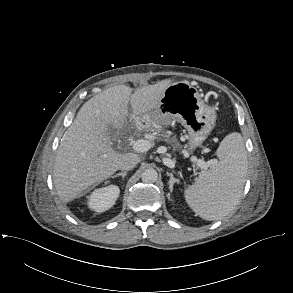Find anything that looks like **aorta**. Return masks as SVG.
Returning a JSON list of instances; mask_svg holds the SVG:
<instances>
[{
    "label": "aorta",
    "mask_w": 293,
    "mask_h": 293,
    "mask_svg": "<svg viewBox=\"0 0 293 293\" xmlns=\"http://www.w3.org/2000/svg\"><path fill=\"white\" fill-rule=\"evenodd\" d=\"M141 179L144 183H154L158 179V173L153 168H147L143 171Z\"/></svg>",
    "instance_id": "1"
}]
</instances>
